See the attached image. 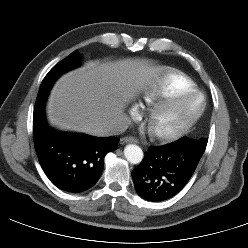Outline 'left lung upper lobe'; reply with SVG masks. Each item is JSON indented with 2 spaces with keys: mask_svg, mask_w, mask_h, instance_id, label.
<instances>
[{
  "mask_svg": "<svg viewBox=\"0 0 248 248\" xmlns=\"http://www.w3.org/2000/svg\"><path fill=\"white\" fill-rule=\"evenodd\" d=\"M179 141L187 142L189 144H192L196 147H199V148L205 150L208 140L207 139L194 140V139H189L187 137H183V138H180Z\"/></svg>",
  "mask_w": 248,
  "mask_h": 248,
  "instance_id": "5c2ea615",
  "label": "left lung upper lobe"
}]
</instances>
